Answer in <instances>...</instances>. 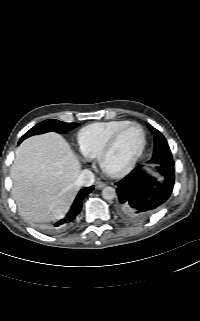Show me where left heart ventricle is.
Instances as JSON below:
<instances>
[{"label": "left heart ventricle", "instance_id": "left-heart-ventricle-1", "mask_svg": "<svg viewBox=\"0 0 200 321\" xmlns=\"http://www.w3.org/2000/svg\"><path fill=\"white\" fill-rule=\"evenodd\" d=\"M141 142V130L136 126L127 128L107 156L106 166L110 170H119L125 167L139 149Z\"/></svg>", "mask_w": 200, "mask_h": 321}]
</instances>
